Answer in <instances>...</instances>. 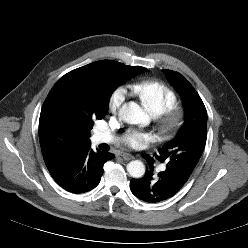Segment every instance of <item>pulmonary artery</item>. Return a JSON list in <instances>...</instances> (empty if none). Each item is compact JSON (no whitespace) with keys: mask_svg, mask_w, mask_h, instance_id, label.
Listing matches in <instances>:
<instances>
[{"mask_svg":"<svg viewBox=\"0 0 248 248\" xmlns=\"http://www.w3.org/2000/svg\"><path fill=\"white\" fill-rule=\"evenodd\" d=\"M114 140L113 136L107 134V133H103V132H97L94 134L93 138H92V142L95 144H99V143H110ZM165 165L160 166V170H165Z\"/></svg>","mask_w":248,"mask_h":248,"instance_id":"1","label":"pulmonary artery"}]
</instances>
